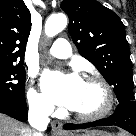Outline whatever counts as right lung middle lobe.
<instances>
[{"instance_id": "dd1d6c3e", "label": "right lung middle lobe", "mask_w": 136, "mask_h": 136, "mask_svg": "<svg viewBox=\"0 0 136 136\" xmlns=\"http://www.w3.org/2000/svg\"><path fill=\"white\" fill-rule=\"evenodd\" d=\"M23 64H0V101L24 99L25 69Z\"/></svg>"}]
</instances>
